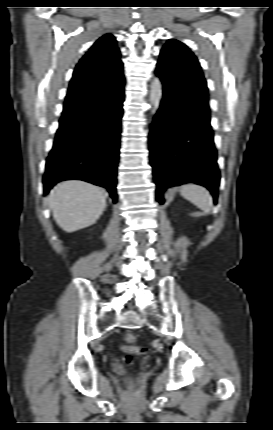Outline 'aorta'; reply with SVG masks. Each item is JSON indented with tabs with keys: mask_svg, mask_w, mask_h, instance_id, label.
Instances as JSON below:
<instances>
[{
	"mask_svg": "<svg viewBox=\"0 0 273 430\" xmlns=\"http://www.w3.org/2000/svg\"><path fill=\"white\" fill-rule=\"evenodd\" d=\"M162 98V84L161 81L155 77L151 83L149 101L152 105L151 113L154 114L160 104Z\"/></svg>",
	"mask_w": 273,
	"mask_h": 430,
	"instance_id": "aorta-1",
	"label": "aorta"
}]
</instances>
